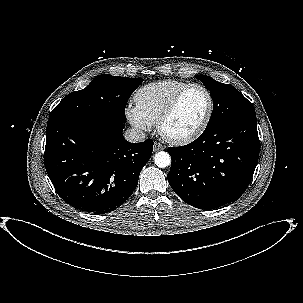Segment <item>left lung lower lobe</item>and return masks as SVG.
<instances>
[{
	"instance_id": "1",
	"label": "left lung lower lobe",
	"mask_w": 303,
	"mask_h": 303,
	"mask_svg": "<svg viewBox=\"0 0 303 303\" xmlns=\"http://www.w3.org/2000/svg\"><path fill=\"white\" fill-rule=\"evenodd\" d=\"M260 151L256 116L206 128L192 143L170 147L168 182L187 204L215 209L247 189Z\"/></svg>"
}]
</instances>
